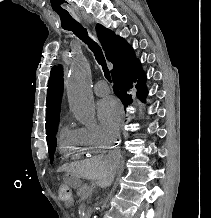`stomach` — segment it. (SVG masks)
<instances>
[{
	"mask_svg": "<svg viewBox=\"0 0 211 218\" xmlns=\"http://www.w3.org/2000/svg\"><path fill=\"white\" fill-rule=\"evenodd\" d=\"M66 182L69 186L73 188H78L81 186V180L79 179V177L72 173L66 176Z\"/></svg>",
	"mask_w": 211,
	"mask_h": 218,
	"instance_id": "obj_1",
	"label": "stomach"
}]
</instances>
